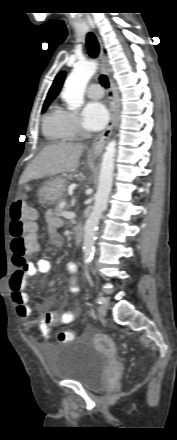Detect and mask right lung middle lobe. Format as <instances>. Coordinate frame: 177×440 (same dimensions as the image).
<instances>
[{
	"mask_svg": "<svg viewBox=\"0 0 177 440\" xmlns=\"http://www.w3.org/2000/svg\"><path fill=\"white\" fill-rule=\"evenodd\" d=\"M48 102L47 103H44V105H43V109H42V113H44L45 112V110L47 109V107H48Z\"/></svg>",
	"mask_w": 177,
	"mask_h": 440,
	"instance_id": "obj_1",
	"label": "right lung middle lobe"
}]
</instances>
